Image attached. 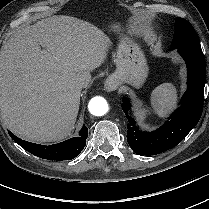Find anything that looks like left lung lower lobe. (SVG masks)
<instances>
[{
    "mask_svg": "<svg viewBox=\"0 0 209 209\" xmlns=\"http://www.w3.org/2000/svg\"><path fill=\"white\" fill-rule=\"evenodd\" d=\"M188 69V89L181 99V106L159 129L143 132L129 115L130 101L123 98L122 108L128 119L127 142L139 155H156L175 147L198 123L204 100L206 80L205 57L200 44L177 48Z\"/></svg>",
    "mask_w": 209,
    "mask_h": 209,
    "instance_id": "0a47b994",
    "label": "left lung lower lobe"
}]
</instances>
